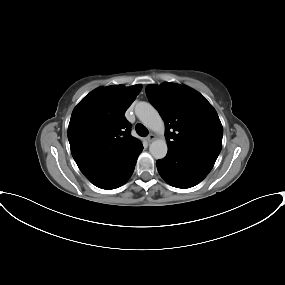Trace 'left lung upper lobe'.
Instances as JSON below:
<instances>
[{
  "instance_id": "5c2ea615",
  "label": "left lung upper lobe",
  "mask_w": 285,
  "mask_h": 285,
  "mask_svg": "<svg viewBox=\"0 0 285 285\" xmlns=\"http://www.w3.org/2000/svg\"><path fill=\"white\" fill-rule=\"evenodd\" d=\"M146 94L165 122L168 152L214 165L223 127L212 105L185 85H149Z\"/></svg>"
}]
</instances>
